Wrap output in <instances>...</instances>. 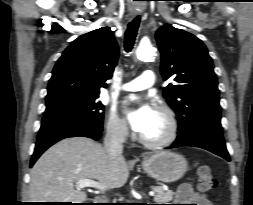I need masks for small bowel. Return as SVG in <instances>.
Masks as SVG:
<instances>
[{
	"label": "small bowel",
	"mask_w": 253,
	"mask_h": 205,
	"mask_svg": "<svg viewBox=\"0 0 253 205\" xmlns=\"http://www.w3.org/2000/svg\"><path fill=\"white\" fill-rule=\"evenodd\" d=\"M177 200L183 203H194L183 205H214L206 195L195 192L190 184H186L179 189Z\"/></svg>",
	"instance_id": "c3829d8e"
}]
</instances>
